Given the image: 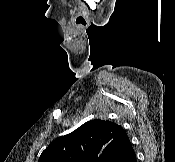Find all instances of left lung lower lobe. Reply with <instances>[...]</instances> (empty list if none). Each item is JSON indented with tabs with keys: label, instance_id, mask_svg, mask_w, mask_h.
I'll use <instances>...</instances> for the list:
<instances>
[{
	"label": "left lung lower lobe",
	"instance_id": "obj_1",
	"mask_svg": "<svg viewBox=\"0 0 175 162\" xmlns=\"http://www.w3.org/2000/svg\"><path fill=\"white\" fill-rule=\"evenodd\" d=\"M106 162H137L128 136L114 149Z\"/></svg>",
	"mask_w": 175,
	"mask_h": 162
}]
</instances>
